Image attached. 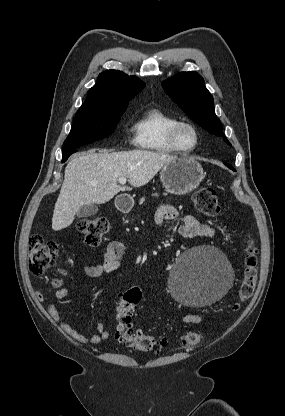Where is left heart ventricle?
Here are the masks:
<instances>
[{
  "label": "left heart ventricle",
  "mask_w": 285,
  "mask_h": 416,
  "mask_svg": "<svg viewBox=\"0 0 285 416\" xmlns=\"http://www.w3.org/2000/svg\"><path fill=\"white\" fill-rule=\"evenodd\" d=\"M178 138L180 144L185 148H191L195 145L194 133L188 127L180 128Z\"/></svg>",
  "instance_id": "left-heart-ventricle-1"
}]
</instances>
